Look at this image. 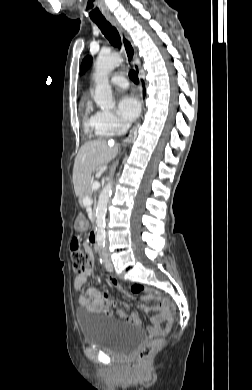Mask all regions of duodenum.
<instances>
[{
    "mask_svg": "<svg viewBox=\"0 0 252 390\" xmlns=\"http://www.w3.org/2000/svg\"><path fill=\"white\" fill-rule=\"evenodd\" d=\"M96 236H97L96 231L92 230L91 233H90V240H91L92 243L96 242Z\"/></svg>",
    "mask_w": 252,
    "mask_h": 390,
    "instance_id": "obj_1",
    "label": "duodenum"
}]
</instances>
